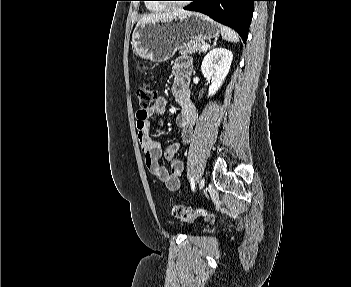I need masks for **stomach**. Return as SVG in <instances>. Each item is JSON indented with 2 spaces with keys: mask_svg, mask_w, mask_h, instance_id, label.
<instances>
[{
  "mask_svg": "<svg viewBox=\"0 0 351 287\" xmlns=\"http://www.w3.org/2000/svg\"><path fill=\"white\" fill-rule=\"evenodd\" d=\"M221 26L200 13H191L167 21L137 25L132 35V48L143 59L168 61L179 47L190 41L216 38Z\"/></svg>",
  "mask_w": 351,
  "mask_h": 287,
  "instance_id": "0dacf381",
  "label": "stomach"
}]
</instances>
